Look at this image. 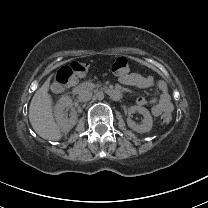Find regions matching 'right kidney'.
I'll return each mask as SVG.
<instances>
[{
    "label": "right kidney",
    "instance_id": "1",
    "mask_svg": "<svg viewBox=\"0 0 208 208\" xmlns=\"http://www.w3.org/2000/svg\"><path fill=\"white\" fill-rule=\"evenodd\" d=\"M66 108L70 110L69 116L64 114ZM55 117L59 129L64 133H68L76 125L77 111L70 97L64 96L57 102L55 106Z\"/></svg>",
    "mask_w": 208,
    "mask_h": 208
}]
</instances>
